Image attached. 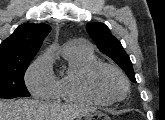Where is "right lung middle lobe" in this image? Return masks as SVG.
<instances>
[{"instance_id": "1", "label": "right lung middle lobe", "mask_w": 165, "mask_h": 120, "mask_svg": "<svg viewBox=\"0 0 165 120\" xmlns=\"http://www.w3.org/2000/svg\"><path fill=\"white\" fill-rule=\"evenodd\" d=\"M0 61V98L28 97L24 74L30 61Z\"/></svg>"}]
</instances>
